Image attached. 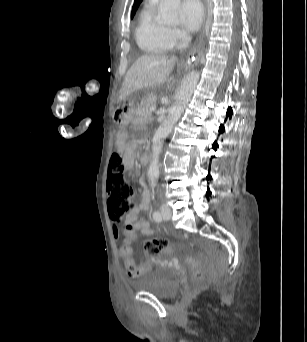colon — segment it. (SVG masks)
<instances>
[{"label": "colon", "mask_w": 307, "mask_h": 342, "mask_svg": "<svg viewBox=\"0 0 307 342\" xmlns=\"http://www.w3.org/2000/svg\"><path fill=\"white\" fill-rule=\"evenodd\" d=\"M124 166L117 152H114L109 163L107 174V190L111 205L110 212L116 223L122 222L124 216L134 209L135 203L132 199L134 187L125 180L123 176ZM126 241L135 242V232L133 226H126ZM120 254H133V243H120ZM143 251L149 257H159L162 253H175L177 248L170 246L166 239L155 237L143 243ZM185 268H190L191 276L195 277V281L191 282L192 288H197L198 283L202 282V276H206V266H199L198 261H193L191 257H186L184 262ZM148 264L135 265L132 257L127 256V273L131 278H138L149 271Z\"/></svg>", "instance_id": "1"}]
</instances>
